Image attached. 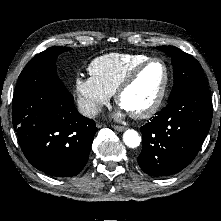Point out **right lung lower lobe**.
Listing matches in <instances>:
<instances>
[{
  "label": "right lung lower lobe",
  "instance_id": "obj_1",
  "mask_svg": "<svg viewBox=\"0 0 221 221\" xmlns=\"http://www.w3.org/2000/svg\"><path fill=\"white\" fill-rule=\"evenodd\" d=\"M12 116L21 149L35 168L71 177L85 166L97 128L77 111L68 91L27 93L13 101Z\"/></svg>",
  "mask_w": 221,
  "mask_h": 221
}]
</instances>
